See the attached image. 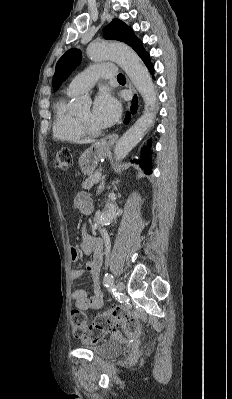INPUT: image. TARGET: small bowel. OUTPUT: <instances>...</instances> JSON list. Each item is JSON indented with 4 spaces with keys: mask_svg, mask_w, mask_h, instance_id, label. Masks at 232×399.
<instances>
[{
    "mask_svg": "<svg viewBox=\"0 0 232 399\" xmlns=\"http://www.w3.org/2000/svg\"><path fill=\"white\" fill-rule=\"evenodd\" d=\"M73 207L77 210L87 211L92 207V200L89 193L78 192L73 198ZM104 245V238L96 236L85 231V240L81 243L80 248L85 253L91 256L87 263V270L91 275V287L94 292L93 297H88L86 293L80 289L71 291V298L74 300L75 306L79 309H98L103 305V291L100 287L98 276L102 265V247ZM80 258V251L77 248L71 247L69 249V260L72 262L78 261ZM84 268H78L70 274V284L75 285L81 283L83 280Z\"/></svg>",
    "mask_w": 232,
    "mask_h": 399,
    "instance_id": "obj_1",
    "label": "small bowel"
}]
</instances>
